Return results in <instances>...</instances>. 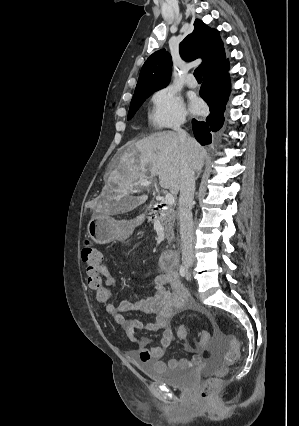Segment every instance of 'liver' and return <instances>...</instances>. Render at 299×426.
Returning <instances> with one entry per match:
<instances>
[{
    "mask_svg": "<svg viewBox=\"0 0 299 426\" xmlns=\"http://www.w3.org/2000/svg\"><path fill=\"white\" fill-rule=\"evenodd\" d=\"M206 150L193 138L187 137L183 145L175 132L150 135L127 146L118 166L110 173L99 209L117 212L130 211L144 203L148 195L133 197L143 181L159 176L162 188L177 195L181 183V159L185 157L194 172L200 174Z\"/></svg>",
    "mask_w": 299,
    "mask_h": 426,
    "instance_id": "liver-1",
    "label": "liver"
}]
</instances>
